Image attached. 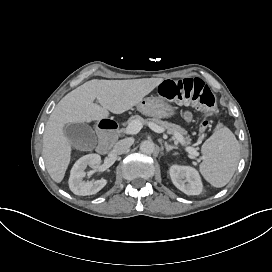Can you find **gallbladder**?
<instances>
[{
	"mask_svg": "<svg viewBox=\"0 0 272 272\" xmlns=\"http://www.w3.org/2000/svg\"><path fill=\"white\" fill-rule=\"evenodd\" d=\"M64 131L72 145L78 149H94L97 146L98 139L95 131L86 123L67 124Z\"/></svg>",
	"mask_w": 272,
	"mask_h": 272,
	"instance_id": "bac80fb5",
	"label": "gallbladder"
}]
</instances>
